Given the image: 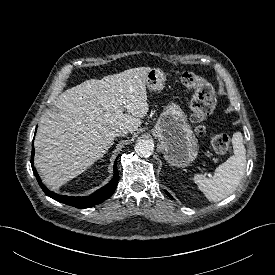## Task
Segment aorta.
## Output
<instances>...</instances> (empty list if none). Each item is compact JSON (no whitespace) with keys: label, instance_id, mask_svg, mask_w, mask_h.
Wrapping results in <instances>:
<instances>
[{"label":"aorta","instance_id":"1","mask_svg":"<svg viewBox=\"0 0 275 275\" xmlns=\"http://www.w3.org/2000/svg\"><path fill=\"white\" fill-rule=\"evenodd\" d=\"M134 149L138 156L149 157L153 154L154 144L149 140H139Z\"/></svg>","mask_w":275,"mask_h":275}]
</instances>
